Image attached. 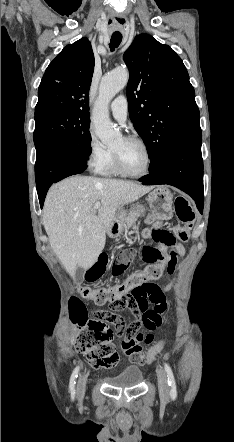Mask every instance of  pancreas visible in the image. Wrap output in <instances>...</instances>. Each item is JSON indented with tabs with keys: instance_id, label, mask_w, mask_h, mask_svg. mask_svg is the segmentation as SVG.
<instances>
[{
	"instance_id": "obj_1",
	"label": "pancreas",
	"mask_w": 234,
	"mask_h": 442,
	"mask_svg": "<svg viewBox=\"0 0 234 442\" xmlns=\"http://www.w3.org/2000/svg\"><path fill=\"white\" fill-rule=\"evenodd\" d=\"M119 214L121 215L122 211ZM139 216H140L139 210L131 209L129 213L123 218L122 221L123 229L125 231H128V229L132 226V224H134L137 221Z\"/></svg>"
}]
</instances>
